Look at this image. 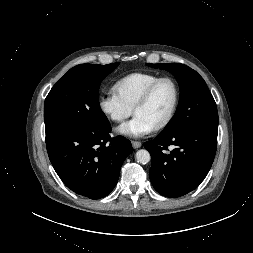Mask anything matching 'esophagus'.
I'll use <instances>...</instances> for the list:
<instances>
[{
  "mask_svg": "<svg viewBox=\"0 0 253 253\" xmlns=\"http://www.w3.org/2000/svg\"><path fill=\"white\" fill-rule=\"evenodd\" d=\"M131 143L134 149H138L142 146V143L139 141H132Z\"/></svg>",
  "mask_w": 253,
  "mask_h": 253,
  "instance_id": "obj_1",
  "label": "esophagus"
}]
</instances>
